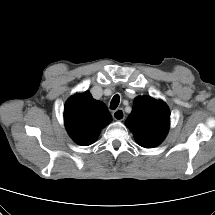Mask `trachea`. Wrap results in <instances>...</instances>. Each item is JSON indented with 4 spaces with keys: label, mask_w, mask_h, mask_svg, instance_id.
<instances>
[{
    "label": "trachea",
    "mask_w": 215,
    "mask_h": 215,
    "mask_svg": "<svg viewBox=\"0 0 215 215\" xmlns=\"http://www.w3.org/2000/svg\"><path fill=\"white\" fill-rule=\"evenodd\" d=\"M119 102H120L119 95H115L111 100L110 109L115 110L118 107Z\"/></svg>",
    "instance_id": "3493384b"
}]
</instances>
